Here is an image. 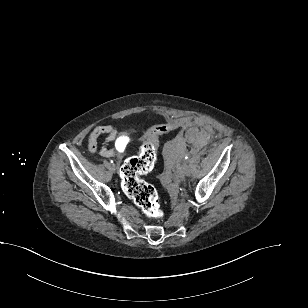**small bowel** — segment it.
I'll return each mask as SVG.
<instances>
[{"label": "small bowel", "mask_w": 308, "mask_h": 308, "mask_svg": "<svg viewBox=\"0 0 308 308\" xmlns=\"http://www.w3.org/2000/svg\"><path fill=\"white\" fill-rule=\"evenodd\" d=\"M197 121L193 118H183L179 120L178 125L181 127H191L196 124ZM116 129L111 125H103L96 127L89 135L87 140L88 151L94 154L98 150L99 139L104 137L103 145L100 148L101 155L110 157L115 155V150L108 148V143L112 141L116 136Z\"/></svg>", "instance_id": "obj_1"}]
</instances>
